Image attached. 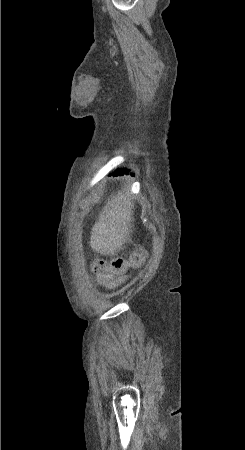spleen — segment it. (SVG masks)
Here are the masks:
<instances>
[{"mask_svg":"<svg viewBox=\"0 0 245 450\" xmlns=\"http://www.w3.org/2000/svg\"><path fill=\"white\" fill-rule=\"evenodd\" d=\"M133 204L125 194L108 199L97 222L92 227L90 245L102 255H113L130 236Z\"/></svg>","mask_w":245,"mask_h":450,"instance_id":"1","label":"spleen"}]
</instances>
